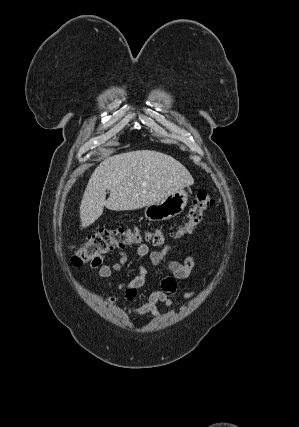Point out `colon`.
<instances>
[{
    "label": "colon",
    "mask_w": 299,
    "mask_h": 427,
    "mask_svg": "<svg viewBox=\"0 0 299 427\" xmlns=\"http://www.w3.org/2000/svg\"><path fill=\"white\" fill-rule=\"evenodd\" d=\"M214 204L215 200L208 191H198L192 201L187 220L179 226L175 236L180 237L191 233L202 223L206 211ZM141 239L142 235L138 227L102 228L92 234L77 250L71 262L76 267L86 264L94 265L106 255L139 242ZM146 239L154 246L163 245L166 241L163 231L159 228L149 231Z\"/></svg>",
    "instance_id": "obj_1"
}]
</instances>
